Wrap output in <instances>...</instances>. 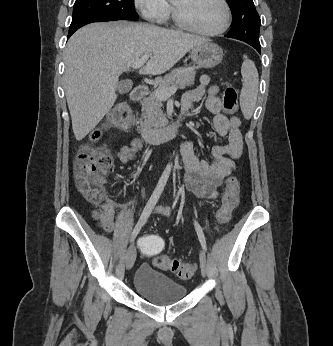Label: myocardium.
Masks as SVG:
<instances>
[{
	"label": "myocardium",
	"mask_w": 333,
	"mask_h": 346,
	"mask_svg": "<svg viewBox=\"0 0 333 346\" xmlns=\"http://www.w3.org/2000/svg\"><path fill=\"white\" fill-rule=\"evenodd\" d=\"M224 8L225 11V18H224V22L223 24L215 29V30H203L200 29L196 26H194L193 24H191L190 22H188L185 18L182 17V15L180 14V12L178 11V9L176 8V6L173 3V17L174 20L176 22V24L178 26H180L181 28L197 33L199 35H203V36H217V35H221L223 34L225 31H227V29L229 28L231 21H232V11H231V7L229 5V2L227 0H219Z\"/></svg>",
	"instance_id": "obj_1"
}]
</instances>
